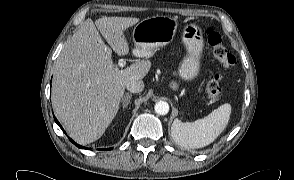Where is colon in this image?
<instances>
[{
    "label": "colon",
    "mask_w": 294,
    "mask_h": 180,
    "mask_svg": "<svg viewBox=\"0 0 294 180\" xmlns=\"http://www.w3.org/2000/svg\"><path fill=\"white\" fill-rule=\"evenodd\" d=\"M206 40L212 51L213 57L223 66V71L216 73L206 84L205 92L209 100H216L221 92L220 80L231 71L236 63V59L222 43L221 36L212 28L205 31Z\"/></svg>",
    "instance_id": "obj_1"
}]
</instances>
